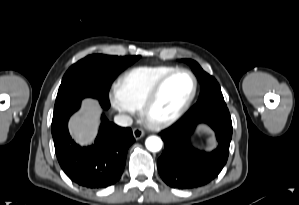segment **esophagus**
Here are the masks:
<instances>
[{
    "label": "esophagus",
    "mask_w": 299,
    "mask_h": 205,
    "mask_svg": "<svg viewBox=\"0 0 299 205\" xmlns=\"http://www.w3.org/2000/svg\"><path fill=\"white\" fill-rule=\"evenodd\" d=\"M133 136L136 140H139L144 136V131L141 128L133 129Z\"/></svg>",
    "instance_id": "1"
}]
</instances>
